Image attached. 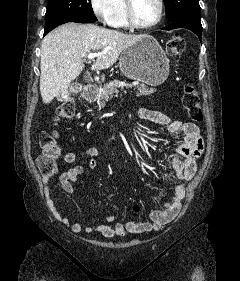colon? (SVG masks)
Segmentation results:
<instances>
[{"label":"colon","instance_id":"obj_1","mask_svg":"<svg viewBox=\"0 0 240 281\" xmlns=\"http://www.w3.org/2000/svg\"><path fill=\"white\" fill-rule=\"evenodd\" d=\"M185 48L183 38L176 34L169 38L166 44L167 52L170 56L180 55ZM182 107L188 112L190 118L195 122L203 120V111L200 105L198 91L194 87H187L184 90L181 99ZM75 104L73 100L63 101L56 109V120H69L74 117ZM39 145L41 156L38 159V166L44 175L53 174L57 168V159L60 155V147L55 135L47 131L39 134ZM134 210L139 211L141 208L138 204L134 205Z\"/></svg>","mask_w":240,"mask_h":281}]
</instances>
